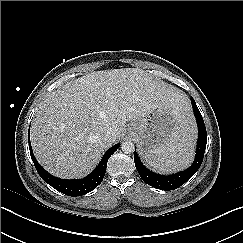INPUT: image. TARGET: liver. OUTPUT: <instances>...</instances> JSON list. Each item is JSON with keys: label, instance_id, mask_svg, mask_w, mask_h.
<instances>
[{"label": "liver", "instance_id": "obj_1", "mask_svg": "<svg viewBox=\"0 0 243 243\" xmlns=\"http://www.w3.org/2000/svg\"><path fill=\"white\" fill-rule=\"evenodd\" d=\"M173 109L179 126L192 123L188 98L142 69L88 73L51 92L38 106L31 144L38 162L66 179L90 173L104 151L125 134V124L145 118L158 105ZM114 137L103 139L106 131Z\"/></svg>", "mask_w": 243, "mask_h": 243}]
</instances>
